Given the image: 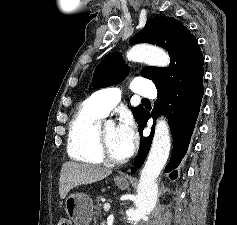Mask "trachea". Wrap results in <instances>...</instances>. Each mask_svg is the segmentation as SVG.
Masks as SVG:
<instances>
[{
  "mask_svg": "<svg viewBox=\"0 0 237 225\" xmlns=\"http://www.w3.org/2000/svg\"><path fill=\"white\" fill-rule=\"evenodd\" d=\"M142 101L145 102V103H149V100L145 99V98Z\"/></svg>",
  "mask_w": 237,
  "mask_h": 225,
  "instance_id": "3493384b",
  "label": "trachea"
}]
</instances>
